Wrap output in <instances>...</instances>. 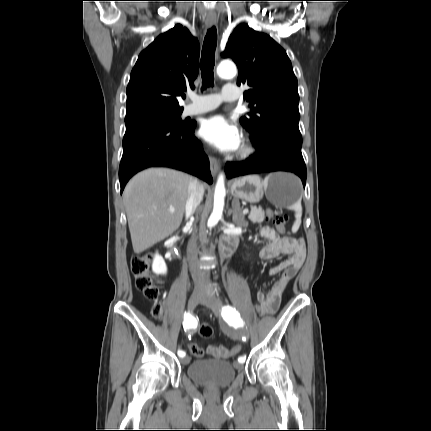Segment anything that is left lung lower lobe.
<instances>
[{
    "label": "left lung lower lobe",
    "mask_w": 431,
    "mask_h": 431,
    "mask_svg": "<svg viewBox=\"0 0 431 431\" xmlns=\"http://www.w3.org/2000/svg\"><path fill=\"white\" fill-rule=\"evenodd\" d=\"M253 144L257 150L255 155L244 161L226 165L227 178L253 173L288 171L297 174L305 187L307 172L301 153L300 133L274 128Z\"/></svg>",
    "instance_id": "1"
}]
</instances>
